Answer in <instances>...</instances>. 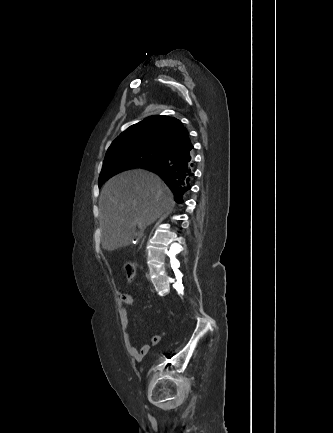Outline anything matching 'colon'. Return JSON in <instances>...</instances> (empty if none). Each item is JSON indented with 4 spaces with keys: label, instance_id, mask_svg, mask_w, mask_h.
Instances as JSON below:
<instances>
[{
    "label": "colon",
    "instance_id": "5ec220e1",
    "mask_svg": "<svg viewBox=\"0 0 333 433\" xmlns=\"http://www.w3.org/2000/svg\"><path fill=\"white\" fill-rule=\"evenodd\" d=\"M125 272L128 280H133L136 275V265L133 262L125 263Z\"/></svg>",
    "mask_w": 333,
    "mask_h": 433
}]
</instances>
